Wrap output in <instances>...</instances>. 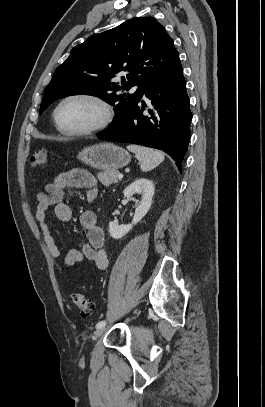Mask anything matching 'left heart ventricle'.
Listing matches in <instances>:
<instances>
[{"instance_id":"b2bd125f","label":"left heart ventricle","mask_w":265,"mask_h":407,"mask_svg":"<svg viewBox=\"0 0 265 407\" xmlns=\"http://www.w3.org/2000/svg\"><path fill=\"white\" fill-rule=\"evenodd\" d=\"M102 118V111L93 102L74 99L66 102L59 110L60 125L67 129H82L92 126Z\"/></svg>"}]
</instances>
